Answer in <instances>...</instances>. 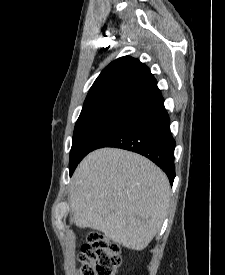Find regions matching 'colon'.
Returning <instances> with one entry per match:
<instances>
[{"label":"colon","instance_id":"obj_1","mask_svg":"<svg viewBox=\"0 0 225 275\" xmlns=\"http://www.w3.org/2000/svg\"><path fill=\"white\" fill-rule=\"evenodd\" d=\"M80 275H114L121 263L119 245L99 232H90L79 255Z\"/></svg>","mask_w":225,"mask_h":275}]
</instances>
